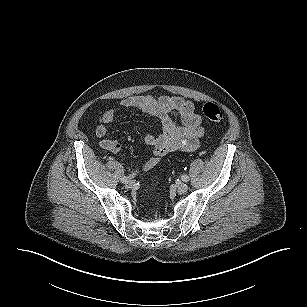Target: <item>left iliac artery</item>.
I'll use <instances>...</instances> for the list:
<instances>
[{"label":"left iliac artery","instance_id":"obj_1","mask_svg":"<svg viewBox=\"0 0 307 307\" xmlns=\"http://www.w3.org/2000/svg\"><path fill=\"white\" fill-rule=\"evenodd\" d=\"M182 180L184 182H187V181H189V177L187 175H182Z\"/></svg>","mask_w":307,"mask_h":307}]
</instances>
